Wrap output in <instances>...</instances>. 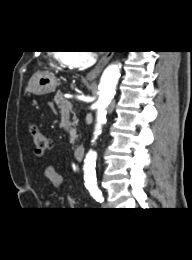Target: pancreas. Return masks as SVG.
Here are the masks:
<instances>
[{"label": "pancreas", "mask_w": 192, "mask_h": 260, "mask_svg": "<svg viewBox=\"0 0 192 260\" xmlns=\"http://www.w3.org/2000/svg\"><path fill=\"white\" fill-rule=\"evenodd\" d=\"M67 101L68 100L63 97V94L60 91H58L56 93V95L54 97V102L56 103L58 109L60 110V114L61 115L66 111V103H67ZM73 120L75 121V117L73 118ZM73 123H75V122H73ZM76 137H77L76 130L75 129H71L70 130V143L71 144H74Z\"/></svg>", "instance_id": "pancreas-1"}]
</instances>
